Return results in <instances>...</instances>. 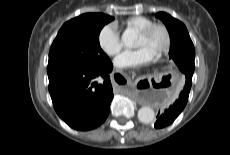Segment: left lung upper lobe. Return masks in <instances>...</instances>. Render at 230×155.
Returning a JSON list of instances; mask_svg holds the SVG:
<instances>
[{"label":"left lung upper lobe","mask_w":230,"mask_h":155,"mask_svg":"<svg viewBox=\"0 0 230 155\" xmlns=\"http://www.w3.org/2000/svg\"><path fill=\"white\" fill-rule=\"evenodd\" d=\"M155 16L163 21L169 31L170 58L174 60L185 77L192 76L195 68V49L187 28L182 22L167 13L159 12Z\"/></svg>","instance_id":"1"}]
</instances>
